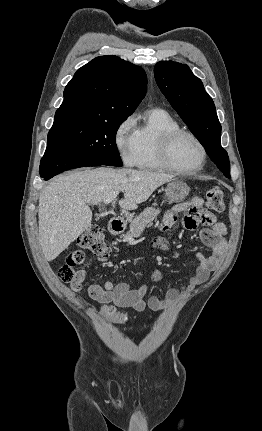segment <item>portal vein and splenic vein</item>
<instances>
[{"instance_id": "1", "label": "portal vein and splenic vein", "mask_w": 262, "mask_h": 431, "mask_svg": "<svg viewBox=\"0 0 262 431\" xmlns=\"http://www.w3.org/2000/svg\"><path fill=\"white\" fill-rule=\"evenodd\" d=\"M118 194H119L118 191H114V192L108 194L107 196H105L103 199L104 204L111 203L117 197ZM82 204L85 205V203H82Z\"/></svg>"}]
</instances>
